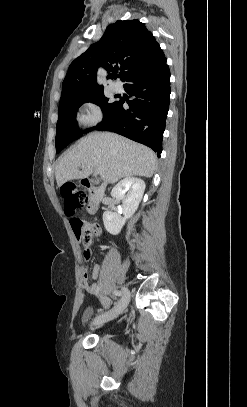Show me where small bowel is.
<instances>
[{
    "label": "small bowel",
    "mask_w": 247,
    "mask_h": 407,
    "mask_svg": "<svg viewBox=\"0 0 247 407\" xmlns=\"http://www.w3.org/2000/svg\"><path fill=\"white\" fill-rule=\"evenodd\" d=\"M90 256H91V252L88 249L83 250V252H82V261L86 264L89 261ZM99 272H100V265L95 264L94 267H93V273H92V278L94 280H96L98 278ZM83 286H84V289L88 293H90V294L97 293V289H98L97 284L96 283L89 284V282H88V272H87V266L86 265L84 267ZM103 304L105 306H108V305H110V301L108 299H104Z\"/></svg>",
    "instance_id": "small-bowel-1"
}]
</instances>
